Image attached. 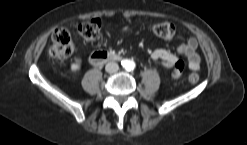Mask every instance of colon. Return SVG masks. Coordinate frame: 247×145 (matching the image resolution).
Returning <instances> with one entry per match:
<instances>
[{"label":"colon","instance_id":"5ec220e1","mask_svg":"<svg viewBox=\"0 0 247 145\" xmlns=\"http://www.w3.org/2000/svg\"><path fill=\"white\" fill-rule=\"evenodd\" d=\"M101 20L99 18H91L82 22L79 26L80 34L87 40H97L101 34ZM152 32L165 39H170L175 34V25L169 21L154 23L151 25ZM75 49L73 40L66 28H58L52 36V44L49 54L53 59L62 60L69 57ZM184 63L180 60L176 61L173 69V76L178 78L182 75ZM190 83L195 84L199 81V75L192 73L189 75Z\"/></svg>","mask_w":247,"mask_h":145}]
</instances>
